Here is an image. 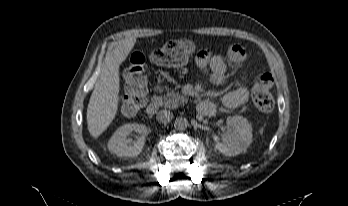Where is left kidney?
Returning <instances> with one entry per match:
<instances>
[{
	"mask_svg": "<svg viewBox=\"0 0 348 206\" xmlns=\"http://www.w3.org/2000/svg\"><path fill=\"white\" fill-rule=\"evenodd\" d=\"M226 123L232 127L231 131L224 133L222 142H215V150H218L225 156L238 155L245 151L252 143V127L243 116H229Z\"/></svg>",
	"mask_w": 348,
	"mask_h": 206,
	"instance_id": "obj_1",
	"label": "left kidney"
}]
</instances>
